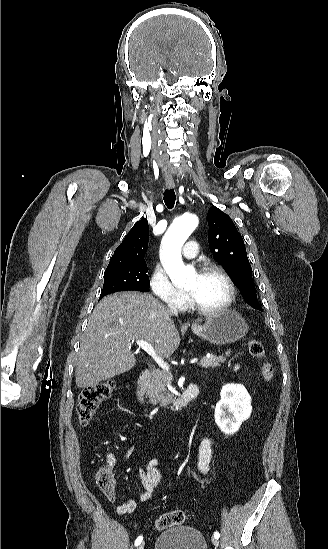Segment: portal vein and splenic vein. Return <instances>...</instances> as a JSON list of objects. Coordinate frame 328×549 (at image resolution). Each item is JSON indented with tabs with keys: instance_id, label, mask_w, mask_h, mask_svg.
I'll list each match as a JSON object with an SVG mask.
<instances>
[{
	"instance_id": "1",
	"label": "portal vein and splenic vein",
	"mask_w": 328,
	"mask_h": 549,
	"mask_svg": "<svg viewBox=\"0 0 328 549\" xmlns=\"http://www.w3.org/2000/svg\"><path fill=\"white\" fill-rule=\"evenodd\" d=\"M136 345H138L140 349H143V351H146V353H148V355H150V357L154 359L155 363H157V365H159V367H161L163 371H169L168 363H165V361H163L161 357H158V355H156L152 345H149L147 341H136ZM191 361H198V358H191Z\"/></svg>"
}]
</instances>
